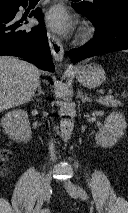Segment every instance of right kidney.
Returning <instances> with one entry per match:
<instances>
[{"instance_id":"1","label":"right kidney","mask_w":128,"mask_h":213,"mask_svg":"<svg viewBox=\"0 0 128 213\" xmlns=\"http://www.w3.org/2000/svg\"><path fill=\"white\" fill-rule=\"evenodd\" d=\"M2 127L5 134L18 142H27L31 139V128L27 113L24 110L17 109L5 114L2 119Z\"/></svg>"}]
</instances>
